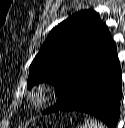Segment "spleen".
I'll use <instances>...</instances> for the list:
<instances>
[{"label": "spleen", "mask_w": 125, "mask_h": 128, "mask_svg": "<svg viewBox=\"0 0 125 128\" xmlns=\"http://www.w3.org/2000/svg\"><path fill=\"white\" fill-rule=\"evenodd\" d=\"M81 128H106L104 124L99 123L94 118L86 117Z\"/></svg>", "instance_id": "3e777b00"}]
</instances>
